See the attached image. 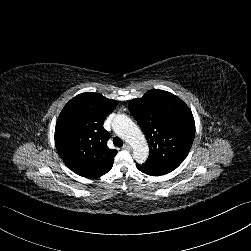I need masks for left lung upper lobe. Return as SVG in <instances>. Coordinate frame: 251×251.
<instances>
[{"instance_id":"left-lung-upper-lobe-1","label":"left lung upper lobe","mask_w":251,"mask_h":251,"mask_svg":"<svg viewBox=\"0 0 251 251\" xmlns=\"http://www.w3.org/2000/svg\"><path fill=\"white\" fill-rule=\"evenodd\" d=\"M150 145L147 160L178 167L186 158L195 136V122L188 106L174 94L150 90L129 102Z\"/></svg>"}]
</instances>
